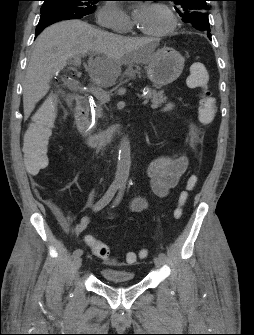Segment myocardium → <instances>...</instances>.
I'll return each mask as SVG.
<instances>
[{
    "instance_id": "myocardium-1",
    "label": "myocardium",
    "mask_w": 254,
    "mask_h": 335,
    "mask_svg": "<svg viewBox=\"0 0 254 335\" xmlns=\"http://www.w3.org/2000/svg\"><path fill=\"white\" fill-rule=\"evenodd\" d=\"M153 6L156 7V8L161 9L162 11H164L166 13V15L169 17L170 24H169L167 29H165L161 32L149 33L145 30H142L141 28H140V32L143 33L144 35L152 36V37H158V38L166 37V36L172 34L178 26V19H177L176 14L172 10V8L168 5H166V4H163V3H155Z\"/></svg>"
}]
</instances>
